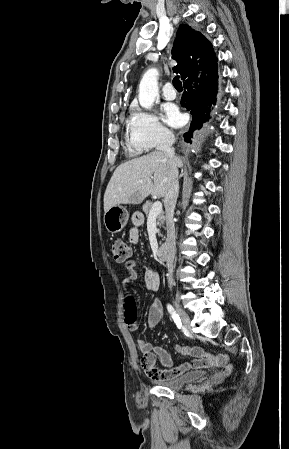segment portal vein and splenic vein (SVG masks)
I'll use <instances>...</instances> for the list:
<instances>
[{
  "label": "portal vein and splenic vein",
  "mask_w": 289,
  "mask_h": 449,
  "mask_svg": "<svg viewBox=\"0 0 289 449\" xmlns=\"http://www.w3.org/2000/svg\"><path fill=\"white\" fill-rule=\"evenodd\" d=\"M142 182V181H139ZM162 212V203L157 201L153 204L150 212L149 218H156Z\"/></svg>",
  "instance_id": "18ae733b"
}]
</instances>
